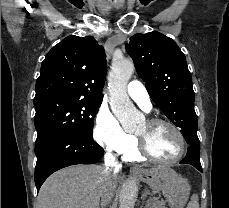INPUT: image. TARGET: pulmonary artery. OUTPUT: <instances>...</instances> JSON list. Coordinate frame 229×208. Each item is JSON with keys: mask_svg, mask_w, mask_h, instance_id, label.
Segmentation results:
<instances>
[{"mask_svg": "<svg viewBox=\"0 0 229 208\" xmlns=\"http://www.w3.org/2000/svg\"><path fill=\"white\" fill-rule=\"evenodd\" d=\"M126 92L145 112L152 109L149 94L141 81H130L126 87Z\"/></svg>", "mask_w": 229, "mask_h": 208, "instance_id": "e3ab8cb5", "label": "pulmonary artery"}]
</instances>
